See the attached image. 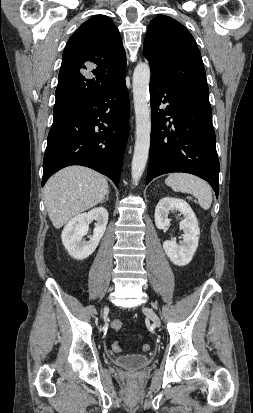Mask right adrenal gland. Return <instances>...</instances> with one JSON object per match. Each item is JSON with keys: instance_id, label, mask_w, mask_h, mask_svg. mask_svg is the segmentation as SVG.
Segmentation results:
<instances>
[{"instance_id": "2a0ac1e0", "label": "right adrenal gland", "mask_w": 253, "mask_h": 413, "mask_svg": "<svg viewBox=\"0 0 253 413\" xmlns=\"http://www.w3.org/2000/svg\"><path fill=\"white\" fill-rule=\"evenodd\" d=\"M108 197H109V192L106 194V197L100 203H103V202L107 201Z\"/></svg>"}]
</instances>
